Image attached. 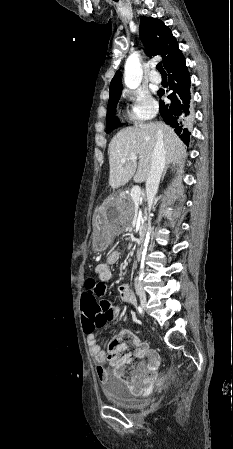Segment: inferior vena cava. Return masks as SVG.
Here are the masks:
<instances>
[{
    "label": "inferior vena cava",
    "instance_id": "obj_1",
    "mask_svg": "<svg viewBox=\"0 0 233 449\" xmlns=\"http://www.w3.org/2000/svg\"><path fill=\"white\" fill-rule=\"evenodd\" d=\"M165 163H166V153L164 149V142L162 136H158L153 149L150 172L146 180V194L149 208H151L154 203V199L158 191L159 182L165 167ZM150 229L151 224L149 222L148 231H150ZM140 275H144L143 269L140 271Z\"/></svg>",
    "mask_w": 233,
    "mask_h": 449
}]
</instances>
